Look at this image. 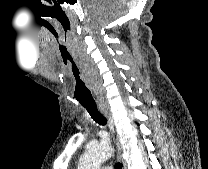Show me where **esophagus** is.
<instances>
[{
    "mask_svg": "<svg viewBox=\"0 0 208 169\" xmlns=\"http://www.w3.org/2000/svg\"><path fill=\"white\" fill-rule=\"evenodd\" d=\"M99 110L108 120L109 129H110L111 135L113 137L114 143L116 145V156H117L118 160L122 163L123 169H126V163L122 157V146H121L119 136H118L117 130L115 128V124H114L113 118L111 116V113L106 106L100 105Z\"/></svg>",
    "mask_w": 208,
    "mask_h": 169,
    "instance_id": "obj_1",
    "label": "esophagus"
}]
</instances>
